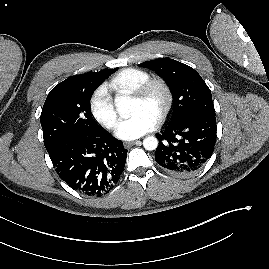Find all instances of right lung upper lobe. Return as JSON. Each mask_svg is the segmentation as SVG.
Wrapping results in <instances>:
<instances>
[{
    "label": "right lung upper lobe",
    "mask_w": 269,
    "mask_h": 269,
    "mask_svg": "<svg viewBox=\"0 0 269 269\" xmlns=\"http://www.w3.org/2000/svg\"><path fill=\"white\" fill-rule=\"evenodd\" d=\"M89 73H90V72H89ZM89 73H86V74H83V75L71 76V77L67 78V80H70V79H77V78H82V77L87 76Z\"/></svg>",
    "instance_id": "right-lung-upper-lobe-1"
}]
</instances>
